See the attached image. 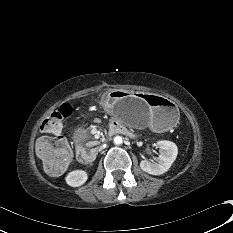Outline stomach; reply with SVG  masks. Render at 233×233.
Wrapping results in <instances>:
<instances>
[{"label": "stomach", "instance_id": "obj_1", "mask_svg": "<svg viewBox=\"0 0 233 233\" xmlns=\"http://www.w3.org/2000/svg\"><path fill=\"white\" fill-rule=\"evenodd\" d=\"M107 112L120 122L134 128L151 127L166 131L179 119L176 104L161 95L113 90L102 100Z\"/></svg>", "mask_w": 233, "mask_h": 233}]
</instances>
